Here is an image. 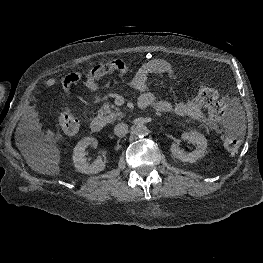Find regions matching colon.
I'll list each match as a JSON object with an SVG mask.
<instances>
[{"instance_id":"obj_1","label":"colon","mask_w":263,"mask_h":263,"mask_svg":"<svg viewBox=\"0 0 263 263\" xmlns=\"http://www.w3.org/2000/svg\"><path fill=\"white\" fill-rule=\"evenodd\" d=\"M115 66L118 69L129 68L126 63L120 61L115 62ZM197 97L202 106L207 108L210 116L213 118L218 119L225 115L226 103L219 98L216 90L207 86H201ZM59 124L63 132L68 135H75L80 128L78 119L66 109L59 113ZM241 141L240 131L230 129L224 136V147L230 153H237L241 146Z\"/></svg>"}]
</instances>
